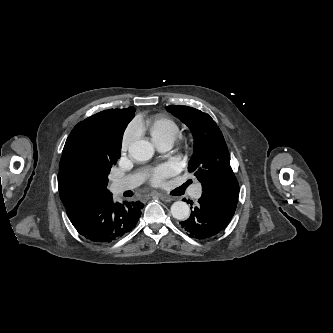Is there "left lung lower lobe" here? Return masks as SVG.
Here are the masks:
<instances>
[{
  "label": "left lung lower lobe",
  "instance_id": "left-lung-lower-lobe-1",
  "mask_svg": "<svg viewBox=\"0 0 333 333\" xmlns=\"http://www.w3.org/2000/svg\"><path fill=\"white\" fill-rule=\"evenodd\" d=\"M237 202L238 198L215 197L203 192L190 217L180 224L191 238L214 236L229 224Z\"/></svg>",
  "mask_w": 333,
  "mask_h": 333
}]
</instances>
